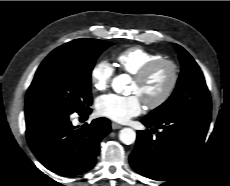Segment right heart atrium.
Returning a JSON list of instances; mask_svg holds the SVG:
<instances>
[{"label": "right heart atrium", "instance_id": "obj_1", "mask_svg": "<svg viewBox=\"0 0 230 186\" xmlns=\"http://www.w3.org/2000/svg\"><path fill=\"white\" fill-rule=\"evenodd\" d=\"M114 69L108 60L97 61L91 69L90 80L97 91L105 90L113 77Z\"/></svg>", "mask_w": 230, "mask_h": 186}]
</instances>
